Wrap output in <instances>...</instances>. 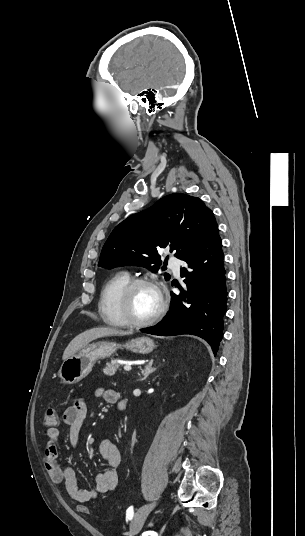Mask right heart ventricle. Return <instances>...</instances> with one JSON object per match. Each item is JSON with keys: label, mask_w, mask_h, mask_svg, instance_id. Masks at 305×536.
<instances>
[{"label": "right heart ventricle", "mask_w": 305, "mask_h": 536, "mask_svg": "<svg viewBox=\"0 0 305 536\" xmlns=\"http://www.w3.org/2000/svg\"><path fill=\"white\" fill-rule=\"evenodd\" d=\"M130 279L127 272H118L104 284L99 296L98 311L106 324L114 327L125 326L119 310V296Z\"/></svg>", "instance_id": "1"}]
</instances>
